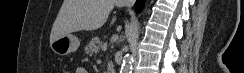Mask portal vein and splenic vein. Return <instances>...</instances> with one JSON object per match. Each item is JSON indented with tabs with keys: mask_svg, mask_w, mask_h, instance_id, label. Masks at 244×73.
Instances as JSON below:
<instances>
[{
	"mask_svg": "<svg viewBox=\"0 0 244 73\" xmlns=\"http://www.w3.org/2000/svg\"><path fill=\"white\" fill-rule=\"evenodd\" d=\"M102 50H103V51H106V50H107V46H106V45H103V46H102Z\"/></svg>",
	"mask_w": 244,
	"mask_h": 73,
	"instance_id": "obj_1",
	"label": "portal vein and splenic vein"
}]
</instances>
